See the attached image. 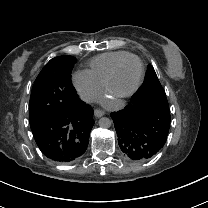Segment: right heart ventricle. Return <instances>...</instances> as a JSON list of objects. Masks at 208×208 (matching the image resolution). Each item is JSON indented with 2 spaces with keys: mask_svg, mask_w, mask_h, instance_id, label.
<instances>
[{
  "mask_svg": "<svg viewBox=\"0 0 208 208\" xmlns=\"http://www.w3.org/2000/svg\"><path fill=\"white\" fill-rule=\"evenodd\" d=\"M128 54L127 51H112L98 55L90 60L87 73L103 87L114 64Z\"/></svg>",
  "mask_w": 208,
  "mask_h": 208,
  "instance_id": "1",
  "label": "right heart ventricle"
}]
</instances>
